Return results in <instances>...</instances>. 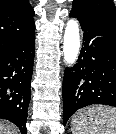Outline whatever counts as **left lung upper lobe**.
I'll return each instance as SVG.
<instances>
[{
	"label": "left lung upper lobe",
	"mask_w": 116,
	"mask_h": 134,
	"mask_svg": "<svg viewBox=\"0 0 116 134\" xmlns=\"http://www.w3.org/2000/svg\"><path fill=\"white\" fill-rule=\"evenodd\" d=\"M71 11L116 21V8L112 0H74Z\"/></svg>",
	"instance_id": "5c2ea615"
}]
</instances>
